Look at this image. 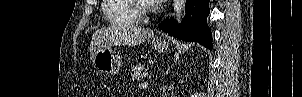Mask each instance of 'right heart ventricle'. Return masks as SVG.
<instances>
[{
	"mask_svg": "<svg viewBox=\"0 0 302 97\" xmlns=\"http://www.w3.org/2000/svg\"><path fill=\"white\" fill-rule=\"evenodd\" d=\"M132 0H104L102 12L110 25L135 26L138 17L131 8Z\"/></svg>",
	"mask_w": 302,
	"mask_h": 97,
	"instance_id": "e07e8e85",
	"label": "right heart ventricle"
}]
</instances>
